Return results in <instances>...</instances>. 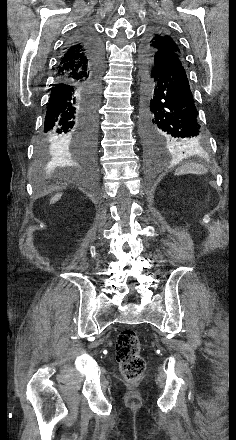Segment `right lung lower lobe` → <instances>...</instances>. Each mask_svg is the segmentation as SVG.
I'll return each instance as SVG.
<instances>
[{
    "label": "right lung lower lobe",
    "mask_w": 236,
    "mask_h": 440,
    "mask_svg": "<svg viewBox=\"0 0 236 440\" xmlns=\"http://www.w3.org/2000/svg\"><path fill=\"white\" fill-rule=\"evenodd\" d=\"M79 43L90 62V78L86 83L74 81L57 82L51 88L44 122V140L53 141L51 146H64L71 142L77 157L92 165L97 146V101L90 98L87 88L101 91L104 69V47L99 36L89 28H83L67 45ZM50 147V146H49Z\"/></svg>",
    "instance_id": "obj_1"
}]
</instances>
